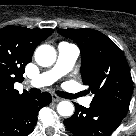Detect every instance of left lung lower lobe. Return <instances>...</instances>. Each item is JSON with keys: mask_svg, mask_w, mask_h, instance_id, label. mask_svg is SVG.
I'll return each mask as SVG.
<instances>
[{"mask_svg": "<svg viewBox=\"0 0 136 136\" xmlns=\"http://www.w3.org/2000/svg\"><path fill=\"white\" fill-rule=\"evenodd\" d=\"M74 115L64 124L75 136H109L127 110L108 104L91 102L89 108L75 104Z\"/></svg>", "mask_w": 136, "mask_h": 136, "instance_id": "obj_1", "label": "left lung lower lobe"}]
</instances>
